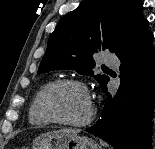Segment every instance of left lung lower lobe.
Here are the masks:
<instances>
[{
  "instance_id": "1",
  "label": "left lung lower lobe",
  "mask_w": 155,
  "mask_h": 149,
  "mask_svg": "<svg viewBox=\"0 0 155 149\" xmlns=\"http://www.w3.org/2000/svg\"><path fill=\"white\" fill-rule=\"evenodd\" d=\"M145 20L137 33L115 53L121 60L119 96L108 101L89 132L116 149H151L155 104V48ZM107 83L103 86L107 90Z\"/></svg>"
}]
</instances>
